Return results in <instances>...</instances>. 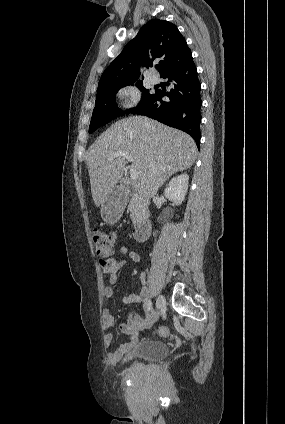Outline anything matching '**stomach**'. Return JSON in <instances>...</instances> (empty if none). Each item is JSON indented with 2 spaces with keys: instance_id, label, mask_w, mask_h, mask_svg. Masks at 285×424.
I'll list each match as a JSON object with an SVG mask.
<instances>
[{
  "instance_id": "obj_1",
  "label": "stomach",
  "mask_w": 285,
  "mask_h": 424,
  "mask_svg": "<svg viewBox=\"0 0 285 424\" xmlns=\"http://www.w3.org/2000/svg\"><path fill=\"white\" fill-rule=\"evenodd\" d=\"M124 207V198L112 191L101 204V217L106 223L113 224L120 218Z\"/></svg>"
}]
</instances>
